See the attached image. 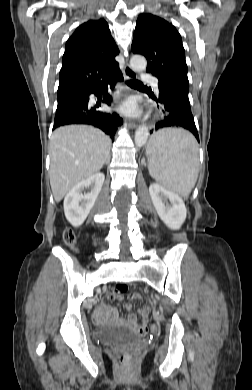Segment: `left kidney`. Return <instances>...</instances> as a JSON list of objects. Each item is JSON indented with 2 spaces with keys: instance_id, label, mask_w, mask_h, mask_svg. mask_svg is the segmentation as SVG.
<instances>
[{
  "instance_id": "1",
  "label": "left kidney",
  "mask_w": 252,
  "mask_h": 390,
  "mask_svg": "<svg viewBox=\"0 0 252 390\" xmlns=\"http://www.w3.org/2000/svg\"><path fill=\"white\" fill-rule=\"evenodd\" d=\"M149 193L161 220L171 229H179L187 214L181 197L156 183L150 185Z\"/></svg>"
}]
</instances>
